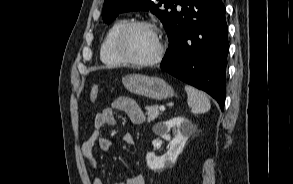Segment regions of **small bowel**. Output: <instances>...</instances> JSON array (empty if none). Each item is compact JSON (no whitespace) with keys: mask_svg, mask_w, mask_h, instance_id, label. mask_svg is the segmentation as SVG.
<instances>
[{"mask_svg":"<svg viewBox=\"0 0 293 184\" xmlns=\"http://www.w3.org/2000/svg\"><path fill=\"white\" fill-rule=\"evenodd\" d=\"M116 111L124 112L133 124H141L145 121V114L140 104L131 97L119 96L113 99L110 104L103 110L98 112L94 118V130L89 138L82 144L83 156L88 160L91 168L96 167V158L94 148L97 146L101 151L109 152L112 148L111 141L105 137L102 130L106 126L116 124ZM123 141L127 145H134V137L130 133L123 136ZM92 184H104L100 177L95 176ZM115 184H145L144 177L141 174H136L126 177L123 181Z\"/></svg>","mask_w":293,"mask_h":184,"instance_id":"small-bowel-1","label":"small bowel"}]
</instances>
